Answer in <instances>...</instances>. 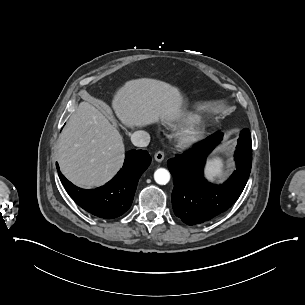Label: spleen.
Instances as JSON below:
<instances>
[{
  "mask_svg": "<svg viewBox=\"0 0 305 305\" xmlns=\"http://www.w3.org/2000/svg\"><path fill=\"white\" fill-rule=\"evenodd\" d=\"M223 160L219 156H215L210 158L207 161L206 167H205V176L209 181H215L216 179H221L226 174L224 169Z\"/></svg>",
  "mask_w": 305,
  "mask_h": 305,
  "instance_id": "3e777b00",
  "label": "spleen"
}]
</instances>
